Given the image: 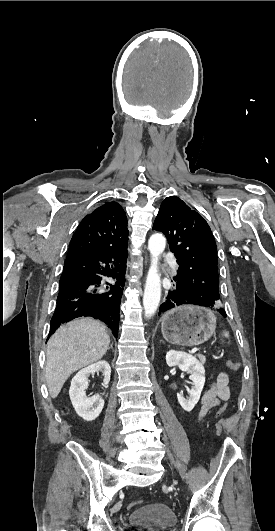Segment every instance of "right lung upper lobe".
I'll use <instances>...</instances> for the list:
<instances>
[{"label": "right lung upper lobe", "instance_id": "obj_1", "mask_svg": "<svg viewBox=\"0 0 275 531\" xmlns=\"http://www.w3.org/2000/svg\"><path fill=\"white\" fill-rule=\"evenodd\" d=\"M127 218L122 207L112 201L84 217L69 245L67 257L127 245Z\"/></svg>", "mask_w": 275, "mask_h": 531}]
</instances>
